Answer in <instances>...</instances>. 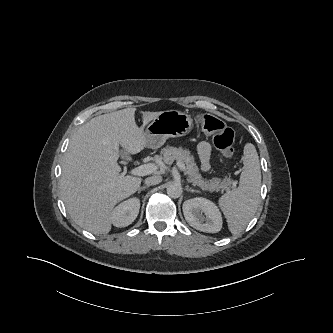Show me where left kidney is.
<instances>
[{
	"instance_id": "left-kidney-1",
	"label": "left kidney",
	"mask_w": 333,
	"mask_h": 333,
	"mask_svg": "<svg viewBox=\"0 0 333 333\" xmlns=\"http://www.w3.org/2000/svg\"><path fill=\"white\" fill-rule=\"evenodd\" d=\"M186 221L196 230L217 233L222 228V216L218 207L202 197L189 199L183 203Z\"/></svg>"
}]
</instances>
